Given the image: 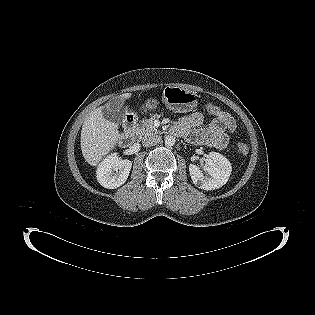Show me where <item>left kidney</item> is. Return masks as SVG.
<instances>
[{
	"label": "left kidney",
	"instance_id": "1",
	"mask_svg": "<svg viewBox=\"0 0 315 315\" xmlns=\"http://www.w3.org/2000/svg\"><path fill=\"white\" fill-rule=\"evenodd\" d=\"M203 173L199 166L190 164L189 173L195 185L203 190H215L225 185L230 177L232 167L223 155L211 152L205 161Z\"/></svg>",
	"mask_w": 315,
	"mask_h": 315
}]
</instances>
